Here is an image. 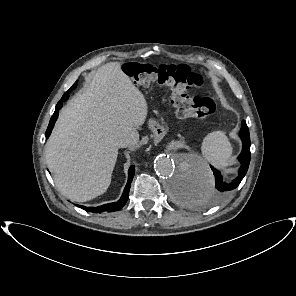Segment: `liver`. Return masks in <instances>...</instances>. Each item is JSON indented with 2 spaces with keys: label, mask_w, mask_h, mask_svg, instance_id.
Returning <instances> with one entry per match:
<instances>
[{
  "label": "liver",
  "mask_w": 296,
  "mask_h": 296,
  "mask_svg": "<svg viewBox=\"0 0 296 296\" xmlns=\"http://www.w3.org/2000/svg\"><path fill=\"white\" fill-rule=\"evenodd\" d=\"M148 106L144 95L111 62L93 72L88 86L60 112L45 154L58 190L75 202L108 189L118 156L117 142L139 140Z\"/></svg>",
  "instance_id": "1"
}]
</instances>
